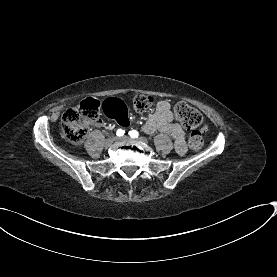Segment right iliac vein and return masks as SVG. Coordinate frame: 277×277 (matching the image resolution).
<instances>
[{
	"label": "right iliac vein",
	"mask_w": 277,
	"mask_h": 277,
	"mask_svg": "<svg viewBox=\"0 0 277 277\" xmlns=\"http://www.w3.org/2000/svg\"><path fill=\"white\" fill-rule=\"evenodd\" d=\"M115 140H116V137H114V136L110 137V138L106 139L104 145L106 147H109V146H111L114 143Z\"/></svg>",
	"instance_id": "obj_1"
}]
</instances>
